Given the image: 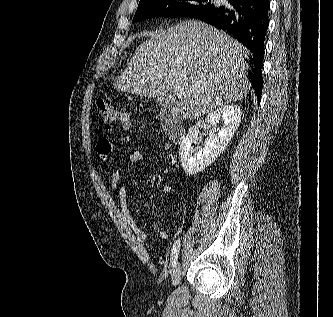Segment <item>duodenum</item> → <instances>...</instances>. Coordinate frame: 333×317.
Returning <instances> with one entry per match:
<instances>
[{
  "label": "duodenum",
  "mask_w": 333,
  "mask_h": 317,
  "mask_svg": "<svg viewBox=\"0 0 333 317\" xmlns=\"http://www.w3.org/2000/svg\"><path fill=\"white\" fill-rule=\"evenodd\" d=\"M160 122L168 138L174 143H180L185 137V128L169 107L160 111Z\"/></svg>",
  "instance_id": "410a0bca"
}]
</instances>
